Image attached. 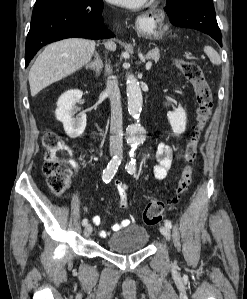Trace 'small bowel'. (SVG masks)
<instances>
[{
    "mask_svg": "<svg viewBox=\"0 0 247 299\" xmlns=\"http://www.w3.org/2000/svg\"><path fill=\"white\" fill-rule=\"evenodd\" d=\"M156 156H157L158 164L154 167V176L157 180H163L167 176L173 161V152L171 147L167 144L160 143L157 147ZM116 187L118 189L121 198L120 207L126 208L127 207L126 204L127 186L124 183L118 182L116 184ZM91 221L93 222V224L99 225L101 223V217L99 215H94L92 216ZM130 223H131V219H125L121 223L115 224L113 226V230H118L123 226L129 225ZM99 234L102 237L107 236V232L103 230H101Z\"/></svg>",
    "mask_w": 247,
    "mask_h": 299,
    "instance_id": "1",
    "label": "small bowel"
}]
</instances>
